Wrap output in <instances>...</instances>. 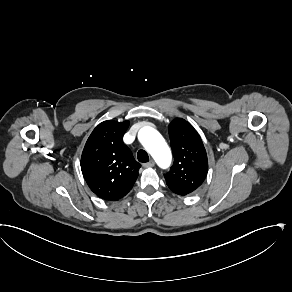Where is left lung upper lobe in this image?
Returning a JSON list of instances; mask_svg holds the SVG:
<instances>
[{
	"label": "left lung upper lobe",
	"instance_id": "1",
	"mask_svg": "<svg viewBox=\"0 0 292 292\" xmlns=\"http://www.w3.org/2000/svg\"><path fill=\"white\" fill-rule=\"evenodd\" d=\"M168 132L174 163L164 175L166 184L176 194L192 193L203 183L208 172L203 142L193 126L181 118L169 124Z\"/></svg>",
	"mask_w": 292,
	"mask_h": 292
}]
</instances>
